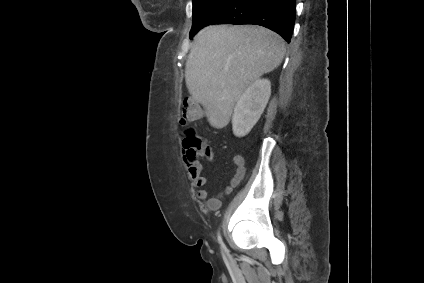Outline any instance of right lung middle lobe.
<instances>
[{
    "mask_svg": "<svg viewBox=\"0 0 424 283\" xmlns=\"http://www.w3.org/2000/svg\"><path fill=\"white\" fill-rule=\"evenodd\" d=\"M228 0H193V23L190 35L197 33Z\"/></svg>",
    "mask_w": 424,
    "mask_h": 283,
    "instance_id": "dd1d6c3e",
    "label": "right lung middle lobe"
}]
</instances>
